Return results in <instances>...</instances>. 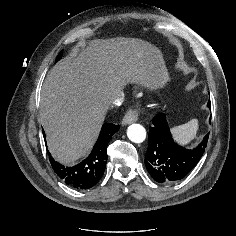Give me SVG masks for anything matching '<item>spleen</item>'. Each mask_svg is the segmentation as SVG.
<instances>
[{
	"mask_svg": "<svg viewBox=\"0 0 236 236\" xmlns=\"http://www.w3.org/2000/svg\"><path fill=\"white\" fill-rule=\"evenodd\" d=\"M197 130L198 120L192 119L188 123L172 128L171 132L180 144L186 145L195 138Z\"/></svg>",
	"mask_w": 236,
	"mask_h": 236,
	"instance_id": "3e777b00",
	"label": "spleen"
}]
</instances>
